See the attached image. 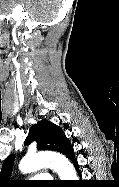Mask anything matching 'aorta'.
<instances>
[{"label":"aorta","mask_w":119,"mask_h":187,"mask_svg":"<svg viewBox=\"0 0 119 187\" xmlns=\"http://www.w3.org/2000/svg\"><path fill=\"white\" fill-rule=\"evenodd\" d=\"M47 166L52 167L61 180H77L73 165L59 153L40 152L27 155L19 163V169L23 173H30Z\"/></svg>","instance_id":"aorta-1"}]
</instances>
